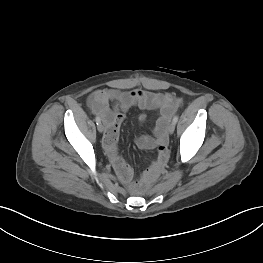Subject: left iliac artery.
Masks as SVG:
<instances>
[{
    "mask_svg": "<svg viewBox=\"0 0 263 263\" xmlns=\"http://www.w3.org/2000/svg\"><path fill=\"white\" fill-rule=\"evenodd\" d=\"M178 116L176 115L174 118H173V122L176 124L177 123V121H178Z\"/></svg>",
    "mask_w": 263,
    "mask_h": 263,
    "instance_id": "1",
    "label": "left iliac artery"
}]
</instances>
